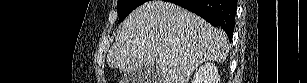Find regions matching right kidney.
<instances>
[{
	"label": "right kidney",
	"mask_w": 307,
	"mask_h": 83,
	"mask_svg": "<svg viewBox=\"0 0 307 83\" xmlns=\"http://www.w3.org/2000/svg\"><path fill=\"white\" fill-rule=\"evenodd\" d=\"M192 83H220L218 68L213 63H205L196 71Z\"/></svg>",
	"instance_id": "obj_1"
}]
</instances>
